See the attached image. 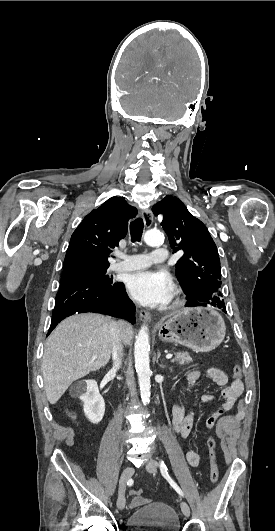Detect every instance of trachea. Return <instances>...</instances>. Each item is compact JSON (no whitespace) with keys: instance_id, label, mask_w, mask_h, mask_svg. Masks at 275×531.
<instances>
[{"instance_id":"1","label":"trachea","mask_w":275,"mask_h":531,"mask_svg":"<svg viewBox=\"0 0 275 531\" xmlns=\"http://www.w3.org/2000/svg\"><path fill=\"white\" fill-rule=\"evenodd\" d=\"M144 223L142 218H137L130 223V235L132 242L141 241Z\"/></svg>"}]
</instances>
